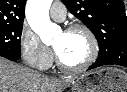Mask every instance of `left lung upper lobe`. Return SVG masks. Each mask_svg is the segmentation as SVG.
Instances as JSON below:
<instances>
[{
	"label": "left lung upper lobe",
	"mask_w": 127,
	"mask_h": 92,
	"mask_svg": "<svg viewBox=\"0 0 127 92\" xmlns=\"http://www.w3.org/2000/svg\"><path fill=\"white\" fill-rule=\"evenodd\" d=\"M68 10L95 35L99 54L127 44V16L122 0H62Z\"/></svg>",
	"instance_id": "left-lung-upper-lobe-1"
}]
</instances>
